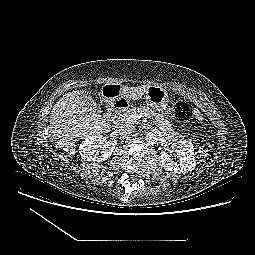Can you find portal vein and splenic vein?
Instances as JSON below:
<instances>
[{
	"label": "portal vein and splenic vein",
	"instance_id": "portal-vein-and-splenic-vein-1",
	"mask_svg": "<svg viewBox=\"0 0 255 255\" xmlns=\"http://www.w3.org/2000/svg\"><path fill=\"white\" fill-rule=\"evenodd\" d=\"M141 117H147V118H151L152 116L148 115V114H135V115H130L127 117V121L130 122V123H133L135 122L136 120H138L139 118ZM153 119V118H152ZM154 120V119H153Z\"/></svg>",
	"mask_w": 255,
	"mask_h": 255
}]
</instances>
